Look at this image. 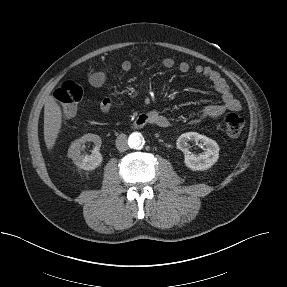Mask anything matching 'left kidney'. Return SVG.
Returning <instances> with one entry per match:
<instances>
[{"mask_svg": "<svg viewBox=\"0 0 287 287\" xmlns=\"http://www.w3.org/2000/svg\"><path fill=\"white\" fill-rule=\"evenodd\" d=\"M188 141L199 143V145L205 147V151L198 155L192 154L189 151ZM176 144L177 148L185 154V165L193 171L207 170L213 166L219 158L218 144L214 140L196 132H188L180 135Z\"/></svg>", "mask_w": 287, "mask_h": 287, "instance_id": "5707ae66", "label": "left kidney"}]
</instances>
